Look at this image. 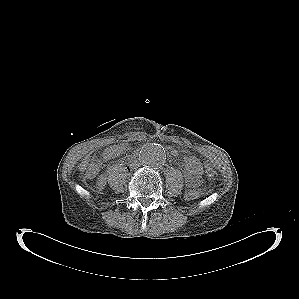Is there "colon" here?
Returning <instances> with one entry per match:
<instances>
[{
	"instance_id": "obj_1",
	"label": "colon",
	"mask_w": 299,
	"mask_h": 299,
	"mask_svg": "<svg viewBox=\"0 0 299 299\" xmlns=\"http://www.w3.org/2000/svg\"><path fill=\"white\" fill-rule=\"evenodd\" d=\"M184 167L194 174L201 175L203 173V164L202 161L192 153H183L181 156ZM86 174L91 177L95 174V168L90 165L86 170ZM200 190H192L188 193L189 199H197L201 195Z\"/></svg>"
}]
</instances>
